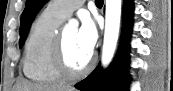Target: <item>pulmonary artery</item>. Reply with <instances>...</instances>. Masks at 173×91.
<instances>
[{
	"label": "pulmonary artery",
	"mask_w": 173,
	"mask_h": 91,
	"mask_svg": "<svg viewBox=\"0 0 173 91\" xmlns=\"http://www.w3.org/2000/svg\"><path fill=\"white\" fill-rule=\"evenodd\" d=\"M83 0H56L49 3L48 9L62 19H67L71 14L82 6Z\"/></svg>",
	"instance_id": "e3ab8cb5"
}]
</instances>
